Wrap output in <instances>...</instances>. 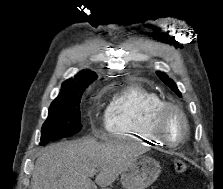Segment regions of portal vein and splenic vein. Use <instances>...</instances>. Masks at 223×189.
I'll return each instance as SVG.
<instances>
[{
	"mask_svg": "<svg viewBox=\"0 0 223 189\" xmlns=\"http://www.w3.org/2000/svg\"><path fill=\"white\" fill-rule=\"evenodd\" d=\"M97 171L96 170H92V171H90V176H93V175H95V173H96Z\"/></svg>",
	"mask_w": 223,
	"mask_h": 189,
	"instance_id": "obj_1",
	"label": "portal vein and splenic vein"
}]
</instances>
